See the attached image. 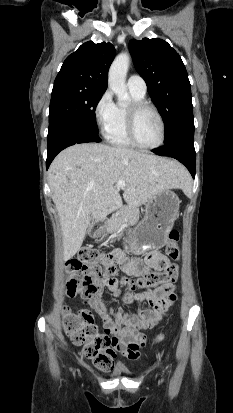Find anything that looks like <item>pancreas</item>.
<instances>
[{
    "mask_svg": "<svg viewBox=\"0 0 233 413\" xmlns=\"http://www.w3.org/2000/svg\"><path fill=\"white\" fill-rule=\"evenodd\" d=\"M139 220V210L132 206H123L105 222L108 232H116L128 225H135Z\"/></svg>",
    "mask_w": 233,
    "mask_h": 413,
    "instance_id": "cf45deb5",
    "label": "pancreas"
}]
</instances>
